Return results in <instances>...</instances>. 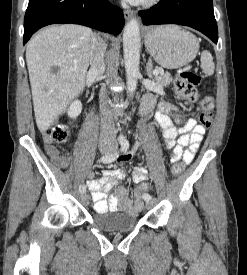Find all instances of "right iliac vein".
Here are the masks:
<instances>
[{"label": "right iliac vein", "instance_id": "63e3f726", "mask_svg": "<svg viewBox=\"0 0 247 275\" xmlns=\"http://www.w3.org/2000/svg\"><path fill=\"white\" fill-rule=\"evenodd\" d=\"M101 151L103 152V153H105V154H107V153H109L110 151H111V149H110V147H108V146H106V145H103L102 147H101ZM81 201H82V203L84 204V205H88L89 204V202H90V197L88 196V194L87 193H82V195H81Z\"/></svg>", "mask_w": 247, "mask_h": 275}]
</instances>
